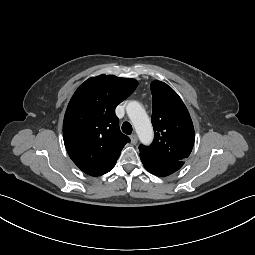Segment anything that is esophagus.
<instances>
[{"label": "esophagus", "instance_id": "obj_1", "mask_svg": "<svg viewBox=\"0 0 255 255\" xmlns=\"http://www.w3.org/2000/svg\"><path fill=\"white\" fill-rule=\"evenodd\" d=\"M130 139H131V143H132V144H136L137 141H138V138H137V135H136V134H132V135L130 136Z\"/></svg>", "mask_w": 255, "mask_h": 255}]
</instances>
